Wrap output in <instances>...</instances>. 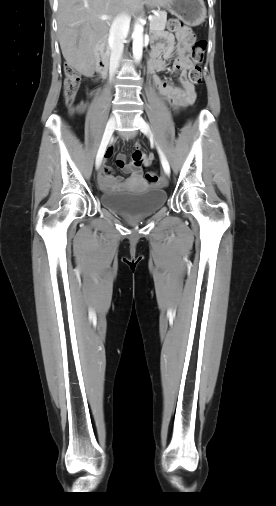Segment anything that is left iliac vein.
I'll list each match as a JSON object with an SVG mask.
<instances>
[{"instance_id": "left-iliac-vein-1", "label": "left iliac vein", "mask_w": 276, "mask_h": 506, "mask_svg": "<svg viewBox=\"0 0 276 506\" xmlns=\"http://www.w3.org/2000/svg\"><path fill=\"white\" fill-rule=\"evenodd\" d=\"M136 124L137 126L139 127V129L146 135H148L151 139H153L151 133H150V129L147 125V123L145 122V120L139 116L136 120ZM158 150H159V154H160V157H161V162H162V166H163V169L165 171V173L167 175L170 174V166H169V163L165 157V155L163 154V152L160 150V148L158 147Z\"/></svg>"}]
</instances>
